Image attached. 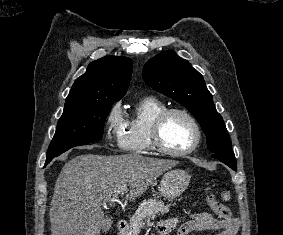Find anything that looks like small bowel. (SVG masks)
<instances>
[{
  "label": "small bowel",
  "instance_id": "1",
  "mask_svg": "<svg viewBox=\"0 0 283 235\" xmlns=\"http://www.w3.org/2000/svg\"><path fill=\"white\" fill-rule=\"evenodd\" d=\"M238 227L239 222L236 219L218 220L203 212L192 215L189 220L183 223H179L176 218L161 221L158 225V231L162 235L173 231H175L176 235H190L198 231H218L217 235H236Z\"/></svg>",
  "mask_w": 283,
  "mask_h": 235
}]
</instances>
